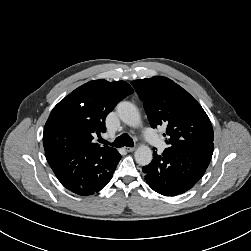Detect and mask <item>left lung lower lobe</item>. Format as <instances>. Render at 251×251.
Returning a JSON list of instances; mask_svg holds the SVG:
<instances>
[{
  "label": "left lung lower lobe",
  "instance_id": "1",
  "mask_svg": "<svg viewBox=\"0 0 251 251\" xmlns=\"http://www.w3.org/2000/svg\"><path fill=\"white\" fill-rule=\"evenodd\" d=\"M211 157L165 149L142 168L147 184L164 196H176L191 189L205 173Z\"/></svg>",
  "mask_w": 251,
  "mask_h": 251
}]
</instances>
